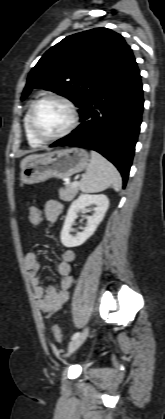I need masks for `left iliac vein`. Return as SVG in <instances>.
Instances as JSON below:
<instances>
[{
  "label": "left iliac vein",
  "mask_w": 165,
  "mask_h": 419,
  "mask_svg": "<svg viewBox=\"0 0 165 419\" xmlns=\"http://www.w3.org/2000/svg\"><path fill=\"white\" fill-rule=\"evenodd\" d=\"M88 334H89V328L86 327L84 331L77 338L73 339L69 343L66 356H69L73 352H75L84 343V341L88 337Z\"/></svg>",
  "instance_id": "left-iliac-vein-1"
}]
</instances>
